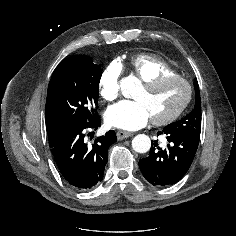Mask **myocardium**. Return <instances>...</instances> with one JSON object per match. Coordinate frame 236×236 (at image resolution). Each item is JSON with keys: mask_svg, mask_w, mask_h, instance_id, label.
Masks as SVG:
<instances>
[{"mask_svg": "<svg viewBox=\"0 0 236 236\" xmlns=\"http://www.w3.org/2000/svg\"><path fill=\"white\" fill-rule=\"evenodd\" d=\"M171 80L181 81L186 86L187 90L186 97L183 103L170 114L160 118H154V117L151 118L152 123L155 125L159 126L167 125L176 120L184 112V110L187 108L192 98V87L185 78H183L178 74H164L142 83V87L144 89L152 90L159 87L163 83Z\"/></svg>", "mask_w": 236, "mask_h": 236, "instance_id": "f54148a6", "label": "myocardium"}]
</instances>
